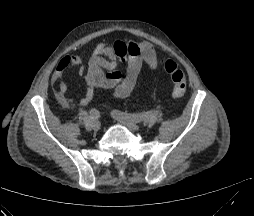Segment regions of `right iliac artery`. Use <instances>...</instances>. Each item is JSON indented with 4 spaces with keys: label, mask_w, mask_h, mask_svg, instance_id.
Masks as SVG:
<instances>
[{
    "label": "right iliac artery",
    "mask_w": 254,
    "mask_h": 216,
    "mask_svg": "<svg viewBox=\"0 0 254 216\" xmlns=\"http://www.w3.org/2000/svg\"><path fill=\"white\" fill-rule=\"evenodd\" d=\"M90 117H91V119H98L100 117L99 111L95 108H92L90 110Z\"/></svg>",
    "instance_id": "obj_1"
}]
</instances>
